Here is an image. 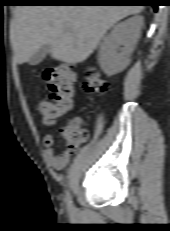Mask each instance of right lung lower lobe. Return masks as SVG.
<instances>
[{"label": "right lung lower lobe", "mask_w": 170, "mask_h": 231, "mask_svg": "<svg viewBox=\"0 0 170 231\" xmlns=\"http://www.w3.org/2000/svg\"><path fill=\"white\" fill-rule=\"evenodd\" d=\"M29 5H150L157 11L159 0H28Z\"/></svg>", "instance_id": "1"}]
</instances>
